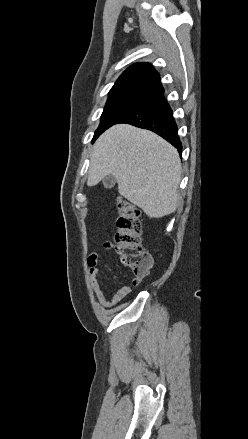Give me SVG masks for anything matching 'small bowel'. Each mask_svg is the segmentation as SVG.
I'll return each instance as SVG.
<instances>
[{"mask_svg": "<svg viewBox=\"0 0 248 439\" xmlns=\"http://www.w3.org/2000/svg\"><path fill=\"white\" fill-rule=\"evenodd\" d=\"M111 248H112L111 243H105L102 247L103 250H110ZM99 261H100V253L98 251L91 253L87 259V263L90 269L91 287L96 299L101 304V306H103L104 308H111L117 305L123 299H125L131 293L132 289L130 286L124 285L121 288H119L118 291L115 294H113L110 298H107L104 292L102 291L98 281V275L101 272ZM133 284L136 285L139 283H136L135 279H133Z\"/></svg>", "mask_w": 248, "mask_h": 439, "instance_id": "c3829d8e", "label": "small bowel"}]
</instances>
